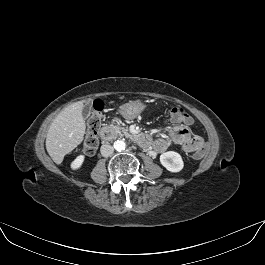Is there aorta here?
I'll list each match as a JSON object with an SVG mask.
<instances>
[{"instance_id": "1", "label": "aorta", "mask_w": 265, "mask_h": 265, "mask_svg": "<svg viewBox=\"0 0 265 265\" xmlns=\"http://www.w3.org/2000/svg\"><path fill=\"white\" fill-rule=\"evenodd\" d=\"M114 149L118 152L125 150L126 143L123 140H117L114 142Z\"/></svg>"}]
</instances>
